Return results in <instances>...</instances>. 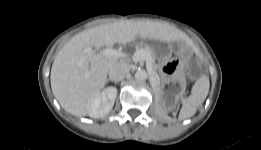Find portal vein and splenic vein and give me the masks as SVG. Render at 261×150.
<instances>
[{
	"label": "portal vein and splenic vein",
	"instance_id": "18ae733b",
	"mask_svg": "<svg viewBox=\"0 0 261 150\" xmlns=\"http://www.w3.org/2000/svg\"><path fill=\"white\" fill-rule=\"evenodd\" d=\"M102 53L106 56H110V57H117V58H126L128 57L127 54H125L121 49H113V48H105L103 49ZM132 60L133 61H146V66L147 69L150 73H152L150 65L148 63V61L150 60L149 55L147 53L146 50L144 49H138L134 52V54L132 55Z\"/></svg>",
	"mask_w": 261,
	"mask_h": 150
}]
</instances>
